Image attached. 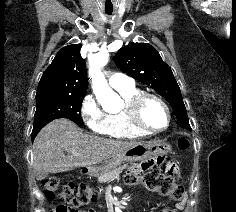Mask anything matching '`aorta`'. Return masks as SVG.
<instances>
[{
	"label": "aorta",
	"instance_id": "aorta-1",
	"mask_svg": "<svg viewBox=\"0 0 236 212\" xmlns=\"http://www.w3.org/2000/svg\"><path fill=\"white\" fill-rule=\"evenodd\" d=\"M108 60L109 55L103 52L88 56L89 76L93 92L98 102L107 110L118 108L122 102L120 96L109 87L101 71V68L108 63Z\"/></svg>",
	"mask_w": 236,
	"mask_h": 212
}]
</instances>
